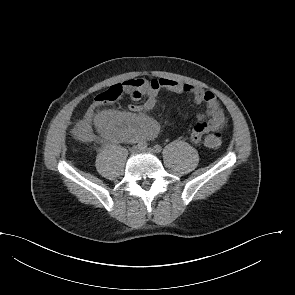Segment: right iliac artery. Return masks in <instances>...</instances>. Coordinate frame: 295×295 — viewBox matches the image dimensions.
<instances>
[{"label":"right iliac artery","mask_w":295,"mask_h":295,"mask_svg":"<svg viewBox=\"0 0 295 295\" xmlns=\"http://www.w3.org/2000/svg\"><path fill=\"white\" fill-rule=\"evenodd\" d=\"M138 146H139V147H144V146H145V143H144V142H139V143H138Z\"/></svg>","instance_id":"right-iliac-artery-1"}]
</instances>
